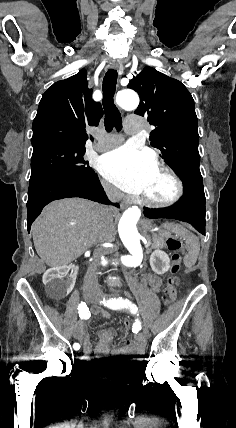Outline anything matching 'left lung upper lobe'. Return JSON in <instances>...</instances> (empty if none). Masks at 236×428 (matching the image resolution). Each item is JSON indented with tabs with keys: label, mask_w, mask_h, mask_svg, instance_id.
Returning <instances> with one entry per match:
<instances>
[{
	"label": "left lung upper lobe",
	"mask_w": 236,
	"mask_h": 428,
	"mask_svg": "<svg viewBox=\"0 0 236 428\" xmlns=\"http://www.w3.org/2000/svg\"><path fill=\"white\" fill-rule=\"evenodd\" d=\"M127 87L140 96L135 114L148 115L149 123L156 127L150 133L151 146L161 151L182 181L202 180L197 116L186 87L152 67H145Z\"/></svg>",
	"instance_id": "1"
}]
</instances>
